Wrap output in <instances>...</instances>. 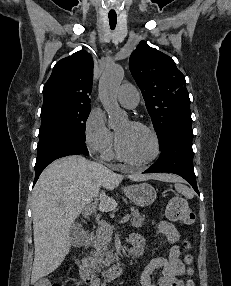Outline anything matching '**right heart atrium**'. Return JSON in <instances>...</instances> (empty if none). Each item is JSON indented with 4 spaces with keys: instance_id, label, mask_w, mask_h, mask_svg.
<instances>
[{
    "instance_id": "1",
    "label": "right heart atrium",
    "mask_w": 231,
    "mask_h": 286,
    "mask_svg": "<svg viewBox=\"0 0 231 286\" xmlns=\"http://www.w3.org/2000/svg\"><path fill=\"white\" fill-rule=\"evenodd\" d=\"M114 142V135L105 123L104 115L98 110H92L84 125V143L87 149L95 155H104Z\"/></svg>"
}]
</instances>
